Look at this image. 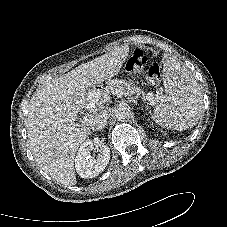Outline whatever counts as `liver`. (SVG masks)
Returning <instances> with one entry per match:
<instances>
[{
    "mask_svg": "<svg viewBox=\"0 0 227 227\" xmlns=\"http://www.w3.org/2000/svg\"><path fill=\"white\" fill-rule=\"evenodd\" d=\"M128 53V46L117 47L52 79L31 97L26 120L29 146L40 168L58 183H77L75 155L91 132L88 125H75L77 114L86 107L94 115L98 111L88 91L117 75Z\"/></svg>",
    "mask_w": 227,
    "mask_h": 227,
    "instance_id": "1",
    "label": "liver"
}]
</instances>
